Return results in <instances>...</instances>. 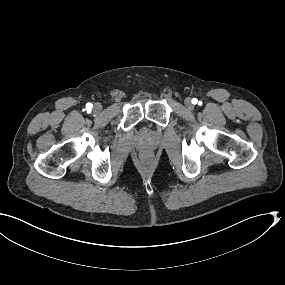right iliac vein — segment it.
<instances>
[{
	"label": "right iliac vein",
	"mask_w": 285,
	"mask_h": 285,
	"mask_svg": "<svg viewBox=\"0 0 285 285\" xmlns=\"http://www.w3.org/2000/svg\"><path fill=\"white\" fill-rule=\"evenodd\" d=\"M93 111L95 113H100L102 111V105L100 103H95L93 106Z\"/></svg>",
	"instance_id": "right-iliac-vein-1"
}]
</instances>
